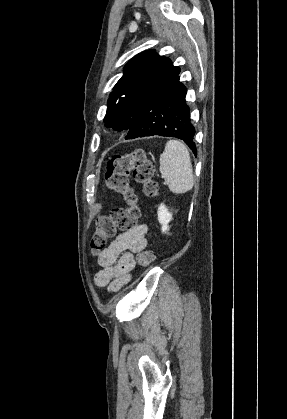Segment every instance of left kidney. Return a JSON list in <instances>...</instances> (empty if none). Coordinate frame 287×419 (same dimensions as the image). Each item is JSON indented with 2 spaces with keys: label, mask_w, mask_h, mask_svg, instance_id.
<instances>
[{
  "label": "left kidney",
  "mask_w": 287,
  "mask_h": 419,
  "mask_svg": "<svg viewBox=\"0 0 287 419\" xmlns=\"http://www.w3.org/2000/svg\"><path fill=\"white\" fill-rule=\"evenodd\" d=\"M158 221L162 225V233H166L169 230V222L172 220V213L169 212L168 208L162 203L158 207Z\"/></svg>",
  "instance_id": "obj_1"
}]
</instances>
